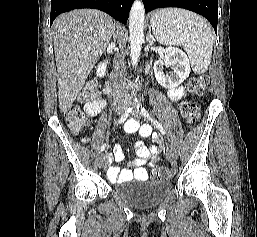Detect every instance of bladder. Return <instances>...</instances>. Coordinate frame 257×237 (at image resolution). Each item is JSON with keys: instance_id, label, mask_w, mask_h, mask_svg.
<instances>
[{"instance_id": "31cf9c89", "label": "bladder", "mask_w": 257, "mask_h": 237, "mask_svg": "<svg viewBox=\"0 0 257 237\" xmlns=\"http://www.w3.org/2000/svg\"><path fill=\"white\" fill-rule=\"evenodd\" d=\"M120 183L122 182L116 184ZM130 183H136L141 186L119 191L118 195L125 203L137 210H147L156 207L163 201L172 187L170 180H140L130 181Z\"/></svg>"}]
</instances>
